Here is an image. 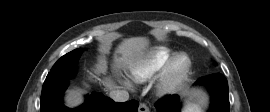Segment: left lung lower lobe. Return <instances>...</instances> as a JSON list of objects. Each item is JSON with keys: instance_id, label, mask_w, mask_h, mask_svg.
Here are the masks:
<instances>
[{"instance_id": "1", "label": "left lung lower lobe", "mask_w": 270, "mask_h": 112, "mask_svg": "<svg viewBox=\"0 0 270 112\" xmlns=\"http://www.w3.org/2000/svg\"><path fill=\"white\" fill-rule=\"evenodd\" d=\"M205 85L211 94V108L208 112H229V96L227 79L220 73L201 77L197 81ZM157 112H180L179 97L168 96L156 105Z\"/></svg>"}]
</instances>
